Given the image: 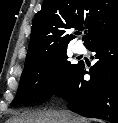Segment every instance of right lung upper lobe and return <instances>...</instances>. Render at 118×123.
Instances as JSON below:
<instances>
[{
	"instance_id": "obj_1",
	"label": "right lung upper lobe",
	"mask_w": 118,
	"mask_h": 123,
	"mask_svg": "<svg viewBox=\"0 0 118 123\" xmlns=\"http://www.w3.org/2000/svg\"><path fill=\"white\" fill-rule=\"evenodd\" d=\"M83 30L88 48L118 33V0H44L35 15L25 65L63 49L75 38L70 29ZM76 34V32H75Z\"/></svg>"
}]
</instances>
